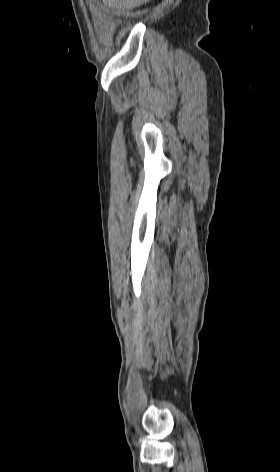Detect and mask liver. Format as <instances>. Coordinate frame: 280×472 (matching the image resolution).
<instances>
[{"label": "liver", "mask_w": 280, "mask_h": 472, "mask_svg": "<svg viewBox=\"0 0 280 472\" xmlns=\"http://www.w3.org/2000/svg\"><path fill=\"white\" fill-rule=\"evenodd\" d=\"M107 2L109 7L113 9H130L140 6L142 3L148 2V0H103Z\"/></svg>", "instance_id": "1"}]
</instances>
